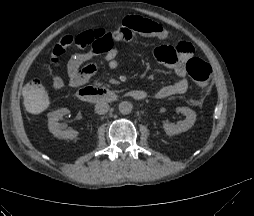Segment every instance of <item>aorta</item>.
<instances>
[{"instance_id": "aorta-1", "label": "aorta", "mask_w": 254, "mask_h": 216, "mask_svg": "<svg viewBox=\"0 0 254 216\" xmlns=\"http://www.w3.org/2000/svg\"><path fill=\"white\" fill-rule=\"evenodd\" d=\"M132 108H133V105L128 101H122L121 103H119V106H118L119 112L123 115H127L131 113Z\"/></svg>"}]
</instances>
